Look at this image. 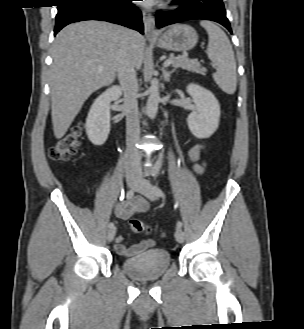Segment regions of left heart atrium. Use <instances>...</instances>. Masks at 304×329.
Returning a JSON list of instances; mask_svg holds the SVG:
<instances>
[{"mask_svg":"<svg viewBox=\"0 0 304 329\" xmlns=\"http://www.w3.org/2000/svg\"><path fill=\"white\" fill-rule=\"evenodd\" d=\"M143 5L151 6L157 2V0H142Z\"/></svg>","mask_w":304,"mask_h":329,"instance_id":"39dd6f15","label":"left heart atrium"}]
</instances>
